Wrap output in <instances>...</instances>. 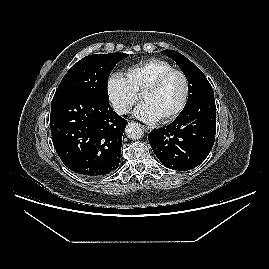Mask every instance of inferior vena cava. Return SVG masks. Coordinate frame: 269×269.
Segmentation results:
<instances>
[{"label": "inferior vena cava", "instance_id": "1", "mask_svg": "<svg viewBox=\"0 0 269 269\" xmlns=\"http://www.w3.org/2000/svg\"><path fill=\"white\" fill-rule=\"evenodd\" d=\"M113 109L117 114L123 115V114H126L128 112L130 107L124 103H115V104H113Z\"/></svg>", "mask_w": 269, "mask_h": 269}]
</instances>
